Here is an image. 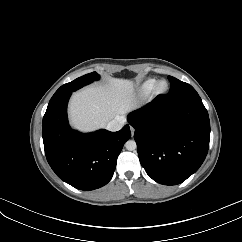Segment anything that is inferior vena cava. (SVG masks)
I'll return each instance as SVG.
<instances>
[{
  "label": "inferior vena cava",
  "instance_id": "602c4592",
  "mask_svg": "<svg viewBox=\"0 0 242 242\" xmlns=\"http://www.w3.org/2000/svg\"><path fill=\"white\" fill-rule=\"evenodd\" d=\"M125 122H126V118L124 116H120L109 121L106 125V128L109 131H118L125 125Z\"/></svg>",
  "mask_w": 242,
  "mask_h": 242
}]
</instances>
